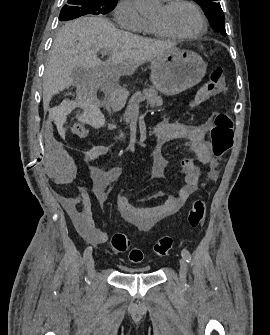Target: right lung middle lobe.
<instances>
[{
	"mask_svg": "<svg viewBox=\"0 0 270 335\" xmlns=\"http://www.w3.org/2000/svg\"><path fill=\"white\" fill-rule=\"evenodd\" d=\"M117 4V0H67L62 7L59 20H72L84 15H104Z\"/></svg>",
	"mask_w": 270,
	"mask_h": 335,
	"instance_id": "dd1d6c3e",
	"label": "right lung middle lobe"
}]
</instances>
